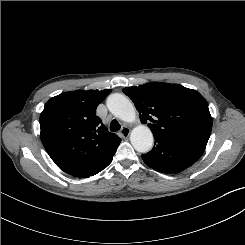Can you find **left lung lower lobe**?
<instances>
[{
	"label": "left lung lower lobe",
	"mask_w": 245,
	"mask_h": 245,
	"mask_svg": "<svg viewBox=\"0 0 245 245\" xmlns=\"http://www.w3.org/2000/svg\"><path fill=\"white\" fill-rule=\"evenodd\" d=\"M153 149L142 155L143 161L158 172L179 173L194 164L204 150L170 139L154 137Z\"/></svg>",
	"instance_id": "0a47b994"
}]
</instances>
